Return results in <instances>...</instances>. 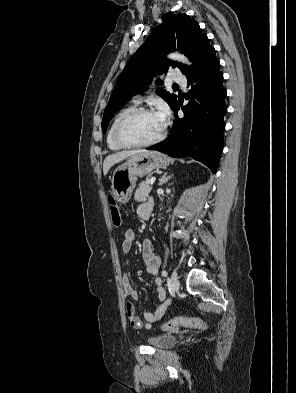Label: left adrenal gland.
<instances>
[{"mask_svg":"<svg viewBox=\"0 0 296 393\" xmlns=\"http://www.w3.org/2000/svg\"><path fill=\"white\" fill-rule=\"evenodd\" d=\"M173 176V174L172 175H170V176H167V172L166 173H164L163 175H162V177L160 178V182H159V186H162L164 183H167L168 182V180L171 178Z\"/></svg>","mask_w":296,"mask_h":393,"instance_id":"left-adrenal-gland-1","label":"left adrenal gland"}]
</instances>
